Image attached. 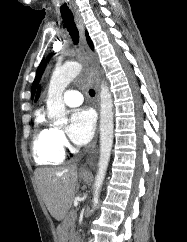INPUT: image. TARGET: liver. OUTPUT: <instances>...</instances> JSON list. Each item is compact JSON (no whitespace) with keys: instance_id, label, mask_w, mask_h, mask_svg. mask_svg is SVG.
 <instances>
[{"instance_id":"6515ba94","label":"liver","mask_w":187,"mask_h":242,"mask_svg":"<svg viewBox=\"0 0 187 242\" xmlns=\"http://www.w3.org/2000/svg\"><path fill=\"white\" fill-rule=\"evenodd\" d=\"M34 174L40 195L51 216L57 221L63 220L79 188L77 167L38 168Z\"/></svg>"}]
</instances>
